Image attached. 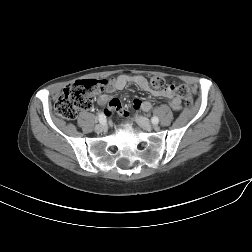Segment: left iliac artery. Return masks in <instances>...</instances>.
Instances as JSON below:
<instances>
[{
	"label": "left iliac artery",
	"instance_id": "1",
	"mask_svg": "<svg viewBox=\"0 0 252 252\" xmlns=\"http://www.w3.org/2000/svg\"><path fill=\"white\" fill-rule=\"evenodd\" d=\"M158 122H159L158 117L154 116V117L152 118V123H153L154 125H156V124H158Z\"/></svg>",
	"mask_w": 252,
	"mask_h": 252
}]
</instances>
